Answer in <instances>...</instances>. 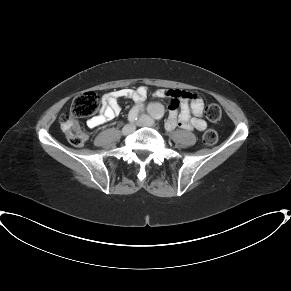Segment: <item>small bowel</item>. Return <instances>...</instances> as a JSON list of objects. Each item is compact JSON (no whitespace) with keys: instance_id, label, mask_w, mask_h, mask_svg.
Instances as JSON below:
<instances>
[{"instance_id":"1","label":"small bowel","mask_w":291,"mask_h":291,"mask_svg":"<svg viewBox=\"0 0 291 291\" xmlns=\"http://www.w3.org/2000/svg\"><path fill=\"white\" fill-rule=\"evenodd\" d=\"M147 93L146 87H139L136 90L119 89L105 93L99 113L87 121V126L94 129L114 119L120 111L118 100L121 98H131L135 102V108L142 110ZM154 96L170 101L169 114L165 122L167 130L171 131L178 126L186 130L206 129V121L201 118L203 99L199 94L184 90L158 89Z\"/></svg>"}]
</instances>
